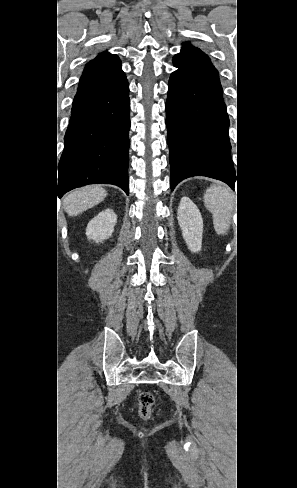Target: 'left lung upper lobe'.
<instances>
[{
  "label": "left lung upper lobe",
  "instance_id": "left-lung-upper-lobe-1",
  "mask_svg": "<svg viewBox=\"0 0 297 488\" xmlns=\"http://www.w3.org/2000/svg\"><path fill=\"white\" fill-rule=\"evenodd\" d=\"M183 45L181 52L173 58V64L178 68L175 72L223 98L218 71L209 57L189 42Z\"/></svg>",
  "mask_w": 297,
  "mask_h": 488
}]
</instances>
